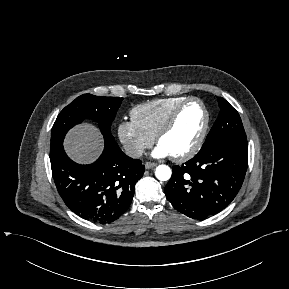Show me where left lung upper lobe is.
I'll list each match as a JSON object with an SVG mask.
<instances>
[{
  "label": "left lung upper lobe",
  "mask_w": 289,
  "mask_h": 289,
  "mask_svg": "<svg viewBox=\"0 0 289 289\" xmlns=\"http://www.w3.org/2000/svg\"><path fill=\"white\" fill-rule=\"evenodd\" d=\"M218 104L220 107L219 116L199 152L205 151L212 144L223 139L247 141L238 112L222 97L218 98Z\"/></svg>",
  "instance_id": "1"
}]
</instances>
